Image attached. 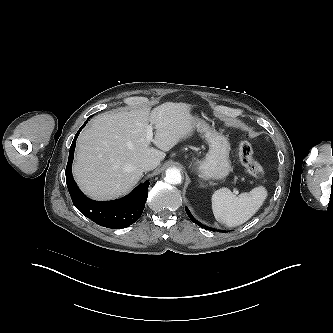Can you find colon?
Masks as SVG:
<instances>
[{
	"label": "colon",
	"mask_w": 333,
	"mask_h": 333,
	"mask_svg": "<svg viewBox=\"0 0 333 333\" xmlns=\"http://www.w3.org/2000/svg\"><path fill=\"white\" fill-rule=\"evenodd\" d=\"M239 158L246 171L255 178H261L264 175L262 165L254 158L252 145L243 140L238 148Z\"/></svg>",
	"instance_id": "obj_1"
}]
</instances>
